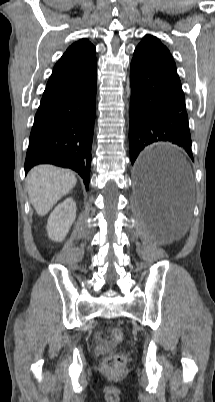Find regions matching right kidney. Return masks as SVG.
Here are the masks:
<instances>
[{
  "label": "right kidney",
  "mask_w": 215,
  "mask_h": 402,
  "mask_svg": "<svg viewBox=\"0 0 215 402\" xmlns=\"http://www.w3.org/2000/svg\"><path fill=\"white\" fill-rule=\"evenodd\" d=\"M76 218V203L72 198L58 204L50 214L47 232L51 240L63 241Z\"/></svg>",
  "instance_id": "ca27d5eb"
}]
</instances>
